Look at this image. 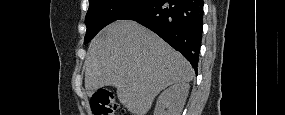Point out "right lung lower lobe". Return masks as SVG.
<instances>
[{
	"instance_id": "right-lung-lower-lobe-1",
	"label": "right lung lower lobe",
	"mask_w": 285,
	"mask_h": 115,
	"mask_svg": "<svg viewBox=\"0 0 285 115\" xmlns=\"http://www.w3.org/2000/svg\"><path fill=\"white\" fill-rule=\"evenodd\" d=\"M149 28L178 50L197 73L203 29L202 0H152L123 16Z\"/></svg>"
}]
</instances>
